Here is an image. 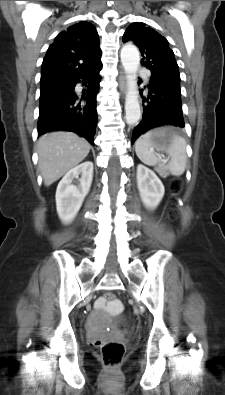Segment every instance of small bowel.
Segmentation results:
<instances>
[{
	"instance_id": "small-bowel-1",
	"label": "small bowel",
	"mask_w": 225,
	"mask_h": 395,
	"mask_svg": "<svg viewBox=\"0 0 225 395\" xmlns=\"http://www.w3.org/2000/svg\"><path fill=\"white\" fill-rule=\"evenodd\" d=\"M95 308L100 312H107L108 315H125L126 305L119 296L108 303L106 297H100L95 302Z\"/></svg>"
}]
</instances>
